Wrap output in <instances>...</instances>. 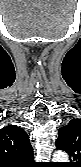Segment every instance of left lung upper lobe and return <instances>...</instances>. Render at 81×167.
I'll list each match as a JSON object with an SVG mask.
<instances>
[{"label":"left lung upper lobe","mask_w":81,"mask_h":167,"mask_svg":"<svg viewBox=\"0 0 81 167\" xmlns=\"http://www.w3.org/2000/svg\"><path fill=\"white\" fill-rule=\"evenodd\" d=\"M56 147L69 154L72 162L69 167L80 166L81 159V119H72L67 125L59 128Z\"/></svg>","instance_id":"left-lung-upper-lobe-1"}]
</instances>
